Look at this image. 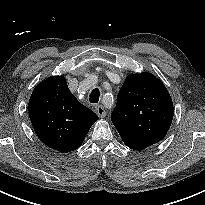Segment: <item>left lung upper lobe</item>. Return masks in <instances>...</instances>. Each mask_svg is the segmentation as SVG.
Returning <instances> with one entry per match:
<instances>
[{
  "label": "left lung upper lobe",
  "instance_id": "1",
  "mask_svg": "<svg viewBox=\"0 0 205 205\" xmlns=\"http://www.w3.org/2000/svg\"><path fill=\"white\" fill-rule=\"evenodd\" d=\"M173 112L172 99L164 84L145 72L127 76L111 119L120 134L151 146L166 135Z\"/></svg>",
  "mask_w": 205,
  "mask_h": 205
}]
</instances>
